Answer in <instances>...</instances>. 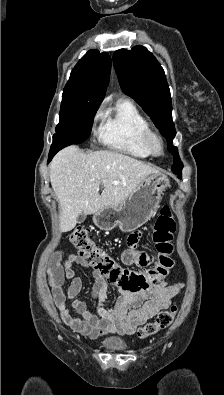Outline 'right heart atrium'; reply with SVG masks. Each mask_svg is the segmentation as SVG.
<instances>
[{"instance_id": "1", "label": "right heart atrium", "mask_w": 224, "mask_h": 395, "mask_svg": "<svg viewBox=\"0 0 224 395\" xmlns=\"http://www.w3.org/2000/svg\"><path fill=\"white\" fill-rule=\"evenodd\" d=\"M105 117V107L101 103L94 112L93 115V125L95 126L98 122L102 121Z\"/></svg>"}]
</instances>
